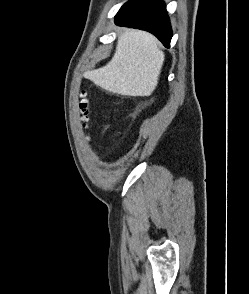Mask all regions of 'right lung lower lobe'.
I'll return each mask as SVG.
<instances>
[{"mask_svg": "<svg viewBox=\"0 0 249 294\" xmlns=\"http://www.w3.org/2000/svg\"><path fill=\"white\" fill-rule=\"evenodd\" d=\"M116 24L153 33L169 47L172 37L166 7L162 0H130L117 13Z\"/></svg>", "mask_w": 249, "mask_h": 294, "instance_id": "right-lung-lower-lobe-1", "label": "right lung lower lobe"}]
</instances>
